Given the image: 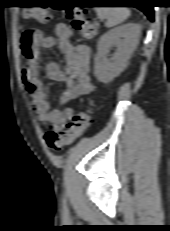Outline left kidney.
Segmentation results:
<instances>
[{
	"instance_id": "1",
	"label": "left kidney",
	"mask_w": 170,
	"mask_h": 231,
	"mask_svg": "<svg viewBox=\"0 0 170 231\" xmlns=\"http://www.w3.org/2000/svg\"><path fill=\"white\" fill-rule=\"evenodd\" d=\"M140 31V25L126 23L100 37L94 59V74L98 81L108 83L127 67L128 60L139 43ZM112 46H116L117 52L112 60H108L107 54Z\"/></svg>"
}]
</instances>
